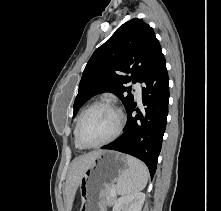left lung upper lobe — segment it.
I'll return each instance as SVG.
<instances>
[{
  "label": "left lung upper lobe",
  "mask_w": 221,
  "mask_h": 211,
  "mask_svg": "<svg viewBox=\"0 0 221 211\" xmlns=\"http://www.w3.org/2000/svg\"><path fill=\"white\" fill-rule=\"evenodd\" d=\"M160 50L153 29L143 20L134 18L121 25L89 59L74 102V116L91 96L101 92L114 93L127 109L134 99L124 84L141 82Z\"/></svg>",
  "instance_id": "left-lung-upper-lobe-1"
}]
</instances>
